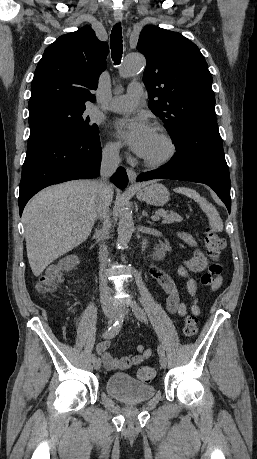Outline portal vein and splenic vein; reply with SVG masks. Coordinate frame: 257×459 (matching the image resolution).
<instances>
[{
    "instance_id": "18ae733b",
    "label": "portal vein and splenic vein",
    "mask_w": 257,
    "mask_h": 459,
    "mask_svg": "<svg viewBox=\"0 0 257 459\" xmlns=\"http://www.w3.org/2000/svg\"><path fill=\"white\" fill-rule=\"evenodd\" d=\"M151 218H152L153 220H158V219H159V217H158L157 214H156V215H153Z\"/></svg>"
}]
</instances>
